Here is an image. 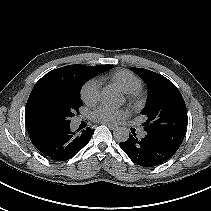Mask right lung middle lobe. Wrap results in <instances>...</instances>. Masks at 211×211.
Listing matches in <instances>:
<instances>
[{
  "label": "right lung middle lobe",
  "instance_id": "right-lung-middle-lobe-1",
  "mask_svg": "<svg viewBox=\"0 0 211 211\" xmlns=\"http://www.w3.org/2000/svg\"><path fill=\"white\" fill-rule=\"evenodd\" d=\"M100 71H90L70 87L45 91L36 95L26 106L32 132L70 124V118L81 107L80 88Z\"/></svg>",
  "mask_w": 211,
  "mask_h": 211
}]
</instances>
